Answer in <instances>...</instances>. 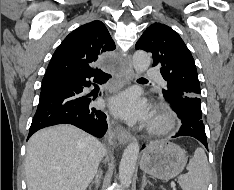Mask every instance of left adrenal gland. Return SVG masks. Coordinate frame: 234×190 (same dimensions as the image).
Returning a JSON list of instances; mask_svg holds the SVG:
<instances>
[{"mask_svg":"<svg viewBox=\"0 0 234 190\" xmlns=\"http://www.w3.org/2000/svg\"><path fill=\"white\" fill-rule=\"evenodd\" d=\"M149 184L152 186V183L146 179V176L145 174L142 176V187H141V190H144L145 186Z\"/></svg>","mask_w":234,"mask_h":190,"instance_id":"1","label":"left adrenal gland"}]
</instances>
